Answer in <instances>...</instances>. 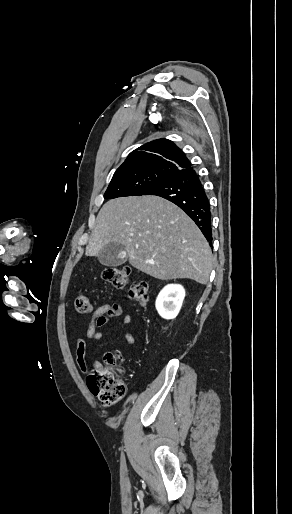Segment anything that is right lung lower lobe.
Here are the masks:
<instances>
[{
    "label": "right lung lower lobe",
    "instance_id": "obj_1",
    "mask_svg": "<svg viewBox=\"0 0 292 514\" xmlns=\"http://www.w3.org/2000/svg\"><path fill=\"white\" fill-rule=\"evenodd\" d=\"M143 195L160 196L179 206L196 223L211 245L210 203L192 167L170 175Z\"/></svg>",
    "mask_w": 292,
    "mask_h": 514
}]
</instances>
